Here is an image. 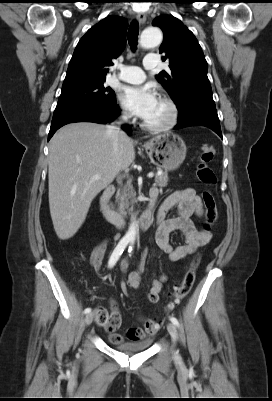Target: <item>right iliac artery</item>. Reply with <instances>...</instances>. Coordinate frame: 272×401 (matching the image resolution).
<instances>
[{
	"mask_svg": "<svg viewBox=\"0 0 272 401\" xmlns=\"http://www.w3.org/2000/svg\"><path fill=\"white\" fill-rule=\"evenodd\" d=\"M129 239L127 238H123L120 240V242L118 243V245L116 246V248L114 249L112 255L110 256L109 262H108V267L112 268L116 262L118 261V259L120 258L121 254L123 253V251L125 250L126 246L129 243ZM91 312V308H86L84 310V313H90Z\"/></svg>",
	"mask_w": 272,
	"mask_h": 401,
	"instance_id": "right-iliac-artery-1",
	"label": "right iliac artery"
}]
</instances>
